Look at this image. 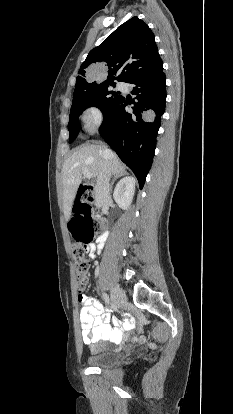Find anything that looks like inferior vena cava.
I'll return each instance as SVG.
<instances>
[{
  "instance_id": "602c4592",
  "label": "inferior vena cava",
  "mask_w": 233,
  "mask_h": 414,
  "mask_svg": "<svg viewBox=\"0 0 233 414\" xmlns=\"http://www.w3.org/2000/svg\"><path fill=\"white\" fill-rule=\"evenodd\" d=\"M111 177V162L106 160L104 165L97 176L95 195H96V206L100 208L110 198L109 181Z\"/></svg>"
}]
</instances>
